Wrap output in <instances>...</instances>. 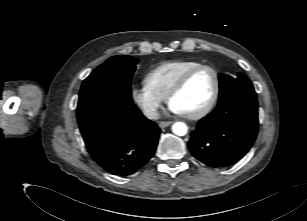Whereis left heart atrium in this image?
I'll return each mask as SVG.
<instances>
[{
	"instance_id": "39dd6f15",
	"label": "left heart atrium",
	"mask_w": 307,
	"mask_h": 221,
	"mask_svg": "<svg viewBox=\"0 0 307 221\" xmlns=\"http://www.w3.org/2000/svg\"><path fill=\"white\" fill-rule=\"evenodd\" d=\"M169 109H170L171 112L179 114V112L173 106L170 105Z\"/></svg>"
}]
</instances>
